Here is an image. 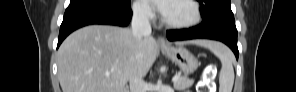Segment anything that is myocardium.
I'll use <instances>...</instances> for the list:
<instances>
[{"instance_id":"1","label":"myocardium","mask_w":296,"mask_h":92,"mask_svg":"<svg viewBox=\"0 0 296 92\" xmlns=\"http://www.w3.org/2000/svg\"><path fill=\"white\" fill-rule=\"evenodd\" d=\"M189 4L193 10V18L186 22H171L165 17L162 18V22L165 26L173 29H188L198 25L202 19V11L199 4L193 0H182Z\"/></svg>"}]
</instances>
